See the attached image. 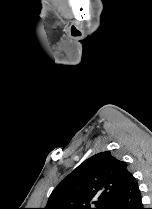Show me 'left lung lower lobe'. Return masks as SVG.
<instances>
[{"mask_svg":"<svg viewBox=\"0 0 152 209\" xmlns=\"http://www.w3.org/2000/svg\"><path fill=\"white\" fill-rule=\"evenodd\" d=\"M140 198L137 182L131 175L124 191L109 209H143Z\"/></svg>","mask_w":152,"mask_h":209,"instance_id":"0a47b994","label":"left lung lower lobe"}]
</instances>
